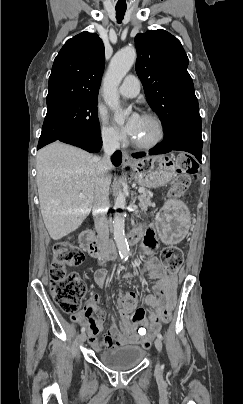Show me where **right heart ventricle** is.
I'll use <instances>...</instances> for the list:
<instances>
[{
    "label": "right heart ventricle",
    "instance_id": "e07e8e85",
    "mask_svg": "<svg viewBox=\"0 0 243 404\" xmlns=\"http://www.w3.org/2000/svg\"><path fill=\"white\" fill-rule=\"evenodd\" d=\"M129 50H131V47H128L126 50H124V51H129Z\"/></svg>",
    "mask_w": 243,
    "mask_h": 404
}]
</instances>
